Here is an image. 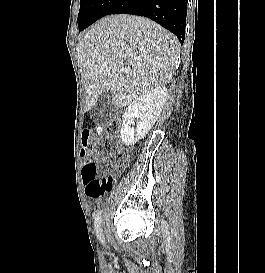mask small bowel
<instances>
[{
	"label": "small bowel",
	"mask_w": 265,
	"mask_h": 273,
	"mask_svg": "<svg viewBox=\"0 0 265 273\" xmlns=\"http://www.w3.org/2000/svg\"><path fill=\"white\" fill-rule=\"evenodd\" d=\"M82 129H93V124H82ZM87 196L95 201L102 200V198H100V197H94L92 195H87Z\"/></svg>",
	"instance_id": "small-bowel-1"
}]
</instances>
